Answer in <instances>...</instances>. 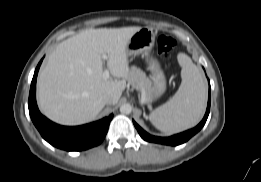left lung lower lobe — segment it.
I'll list each match as a JSON object with an SVG mask.
<instances>
[{
	"instance_id": "0a47b994",
	"label": "left lung lower lobe",
	"mask_w": 261,
	"mask_h": 182,
	"mask_svg": "<svg viewBox=\"0 0 261 182\" xmlns=\"http://www.w3.org/2000/svg\"><path fill=\"white\" fill-rule=\"evenodd\" d=\"M209 85H210V81H209ZM209 111H210V86H209V97H208V104H207L205 116H204L203 120L193 129L182 132L180 134L173 135L171 137H157V136H153V135H150L147 132H145L134 120H133V123H134V126L136 127L139 135L145 141L176 146V145H179V144H182V143L188 141L193 135H195L198 131H200V129L204 126V124L208 118Z\"/></svg>"
}]
</instances>
